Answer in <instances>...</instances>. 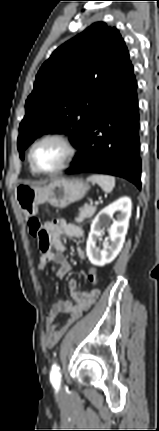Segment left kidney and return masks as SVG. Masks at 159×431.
<instances>
[{
	"label": "left kidney",
	"mask_w": 159,
	"mask_h": 431,
	"mask_svg": "<svg viewBox=\"0 0 159 431\" xmlns=\"http://www.w3.org/2000/svg\"><path fill=\"white\" fill-rule=\"evenodd\" d=\"M132 203L130 198L122 197L102 209L94 218L88 236L86 253L91 264L104 266L111 263L121 251L129 226ZM117 213L115 220L113 215ZM112 222V224H111ZM108 228L110 243L104 242L103 248L97 246L102 234Z\"/></svg>",
	"instance_id": "left-kidney-1"
}]
</instances>
